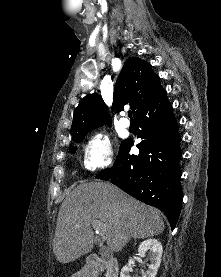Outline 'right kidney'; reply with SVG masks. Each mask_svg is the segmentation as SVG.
<instances>
[{
	"label": "right kidney",
	"mask_w": 221,
	"mask_h": 277,
	"mask_svg": "<svg viewBox=\"0 0 221 277\" xmlns=\"http://www.w3.org/2000/svg\"><path fill=\"white\" fill-rule=\"evenodd\" d=\"M147 251H149L150 255V264L148 265V270L142 272V277H155L161 263L163 247L158 240L147 239L139 245L137 255L142 257ZM134 262V259H129L128 264L121 269L120 277H130Z\"/></svg>",
	"instance_id": "obj_1"
}]
</instances>
